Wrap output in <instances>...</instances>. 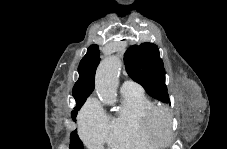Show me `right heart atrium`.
<instances>
[{
    "label": "right heart atrium",
    "instance_id": "obj_1",
    "mask_svg": "<svg viewBox=\"0 0 227 149\" xmlns=\"http://www.w3.org/2000/svg\"><path fill=\"white\" fill-rule=\"evenodd\" d=\"M79 128L81 137L88 147H100L106 142L108 117L97 99L90 98L82 108Z\"/></svg>",
    "mask_w": 227,
    "mask_h": 149
}]
</instances>
